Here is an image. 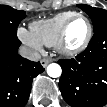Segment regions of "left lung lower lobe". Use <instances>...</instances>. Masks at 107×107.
Segmentation results:
<instances>
[{
	"label": "left lung lower lobe",
	"mask_w": 107,
	"mask_h": 107,
	"mask_svg": "<svg viewBox=\"0 0 107 107\" xmlns=\"http://www.w3.org/2000/svg\"><path fill=\"white\" fill-rule=\"evenodd\" d=\"M59 88L72 107L107 104V26L94 31L86 50L75 59H60Z\"/></svg>",
	"instance_id": "1"
}]
</instances>
